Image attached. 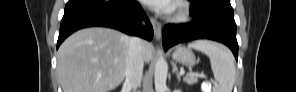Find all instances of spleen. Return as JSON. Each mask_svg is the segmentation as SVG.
<instances>
[{
  "label": "spleen",
  "mask_w": 296,
  "mask_h": 92,
  "mask_svg": "<svg viewBox=\"0 0 296 92\" xmlns=\"http://www.w3.org/2000/svg\"><path fill=\"white\" fill-rule=\"evenodd\" d=\"M188 48L201 51L209 57L214 78L218 83L214 92H232L235 81V64L231 51L221 44L207 40L190 43Z\"/></svg>",
  "instance_id": "spleen-1"
}]
</instances>
